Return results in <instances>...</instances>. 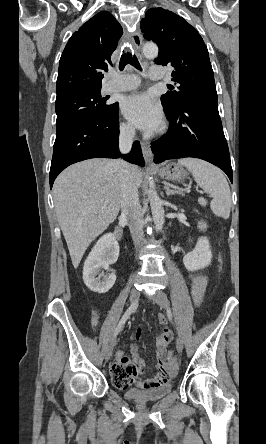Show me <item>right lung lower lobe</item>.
<instances>
[{"instance_id": "1", "label": "right lung lower lobe", "mask_w": 266, "mask_h": 444, "mask_svg": "<svg viewBox=\"0 0 266 444\" xmlns=\"http://www.w3.org/2000/svg\"><path fill=\"white\" fill-rule=\"evenodd\" d=\"M118 103L114 112L88 124L72 127L56 136L50 168V188L58 174L69 165L90 158H119L144 165L141 146L135 142L128 155L119 154Z\"/></svg>"}]
</instances>
